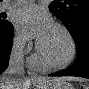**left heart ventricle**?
<instances>
[{"label": "left heart ventricle", "mask_w": 89, "mask_h": 89, "mask_svg": "<svg viewBox=\"0 0 89 89\" xmlns=\"http://www.w3.org/2000/svg\"><path fill=\"white\" fill-rule=\"evenodd\" d=\"M40 46L45 58L52 63L64 62L70 54V43L66 35L55 26L40 42Z\"/></svg>", "instance_id": "left-heart-ventricle-1"}]
</instances>
